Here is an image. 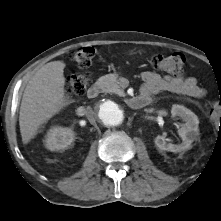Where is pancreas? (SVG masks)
I'll list each match as a JSON object with an SVG mask.
<instances>
[{
    "label": "pancreas",
    "mask_w": 221,
    "mask_h": 221,
    "mask_svg": "<svg viewBox=\"0 0 221 221\" xmlns=\"http://www.w3.org/2000/svg\"><path fill=\"white\" fill-rule=\"evenodd\" d=\"M97 85L102 92L119 94L122 92L120 82L115 74H108L97 80Z\"/></svg>",
    "instance_id": "pancreas-1"
}]
</instances>
